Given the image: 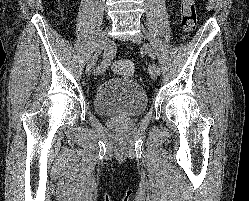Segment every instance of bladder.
Segmentation results:
<instances>
[{
  "label": "bladder",
  "instance_id": "obj_1",
  "mask_svg": "<svg viewBox=\"0 0 249 201\" xmlns=\"http://www.w3.org/2000/svg\"><path fill=\"white\" fill-rule=\"evenodd\" d=\"M148 106L143 88L133 79H109L101 83L94 95V109L104 116L135 117Z\"/></svg>",
  "mask_w": 249,
  "mask_h": 201
}]
</instances>
